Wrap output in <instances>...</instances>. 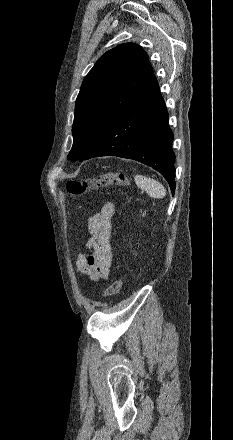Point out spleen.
<instances>
[{
    "mask_svg": "<svg viewBox=\"0 0 233 440\" xmlns=\"http://www.w3.org/2000/svg\"><path fill=\"white\" fill-rule=\"evenodd\" d=\"M134 180L136 185L140 189L146 191L149 196L156 199H162L165 197L166 190L164 186L155 179L145 177L143 175H136Z\"/></svg>",
    "mask_w": 233,
    "mask_h": 440,
    "instance_id": "spleen-1",
    "label": "spleen"
}]
</instances>
